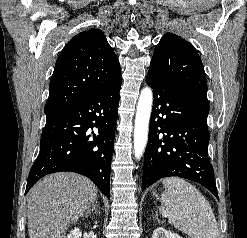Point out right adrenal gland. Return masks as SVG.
Listing matches in <instances>:
<instances>
[{
    "label": "right adrenal gland",
    "mask_w": 247,
    "mask_h": 238,
    "mask_svg": "<svg viewBox=\"0 0 247 238\" xmlns=\"http://www.w3.org/2000/svg\"><path fill=\"white\" fill-rule=\"evenodd\" d=\"M96 205H97V199H96L95 203L93 204L92 208L89 209V210H87V211L85 212V215L88 216V215H90L91 212H93V211H95V212L98 213V210H97V208H96Z\"/></svg>",
    "instance_id": "2a0ac1e0"
}]
</instances>
